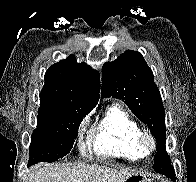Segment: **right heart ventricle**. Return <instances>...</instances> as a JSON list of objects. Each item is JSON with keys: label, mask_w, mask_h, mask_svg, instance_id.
<instances>
[{"label": "right heart ventricle", "mask_w": 196, "mask_h": 182, "mask_svg": "<svg viewBox=\"0 0 196 182\" xmlns=\"http://www.w3.org/2000/svg\"><path fill=\"white\" fill-rule=\"evenodd\" d=\"M139 124L117 105L109 107L94 134V151L102 156L136 161L145 156L137 138Z\"/></svg>", "instance_id": "e07e8e85"}]
</instances>
